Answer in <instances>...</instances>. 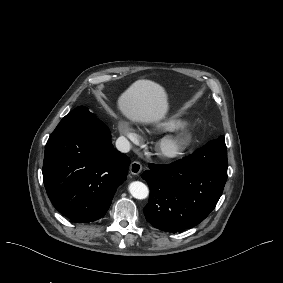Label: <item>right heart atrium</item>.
I'll use <instances>...</instances> for the list:
<instances>
[{
	"label": "right heart atrium",
	"instance_id": "1",
	"mask_svg": "<svg viewBox=\"0 0 283 283\" xmlns=\"http://www.w3.org/2000/svg\"><path fill=\"white\" fill-rule=\"evenodd\" d=\"M117 131L119 133L120 138L127 142H140L141 136L138 127L132 125L124 118L117 119Z\"/></svg>",
	"mask_w": 283,
	"mask_h": 283
}]
</instances>
